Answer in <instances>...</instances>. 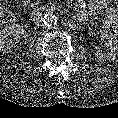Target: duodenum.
Segmentation results:
<instances>
[{
	"label": "duodenum",
	"mask_w": 118,
	"mask_h": 118,
	"mask_svg": "<svg viewBox=\"0 0 118 118\" xmlns=\"http://www.w3.org/2000/svg\"><path fill=\"white\" fill-rule=\"evenodd\" d=\"M34 15L35 16H40L41 15V10L39 8L34 10Z\"/></svg>",
	"instance_id": "obj_1"
}]
</instances>
